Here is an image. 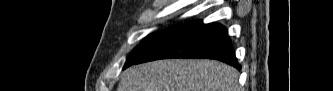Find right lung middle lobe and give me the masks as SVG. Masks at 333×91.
<instances>
[{
    "instance_id": "dd1d6c3e",
    "label": "right lung middle lobe",
    "mask_w": 333,
    "mask_h": 91,
    "mask_svg": "<svg viewBox=\"0 0 333 91\" xmlns=\"http://www.w3.org/2000/svg\"><path fill=\"white\" fill-rule=\"evenodd\" d=\"M183 25H176L173 26L167 30L157 32L150 34L147 36L132 52L129 59L124 65V68H127L131 66L134 62H136L138 59L143 57L145 54H147L150 50L158 46L160 43H162L164 40H166L168 37H170L173 33H175L177 30H179Z\"/></svg>"
}]
</instances>
